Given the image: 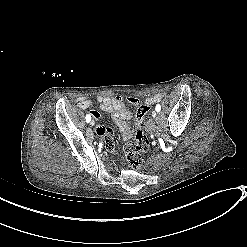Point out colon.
Wrapping results in <instances>:
<instances>
[{
	"instance_id": "5ec220e1",
	"label": "colon",
	"mask_w": 247,
	"mask_h": 247,
	"mask_svg": "<svg viewBox=\"0 0 247 247\" xmlns=\"http://www.w3.org/2000/svg\"><path fill=\"white\" fill-rule=\"evenodd\" d=\"M149 109L150 106L148 104H139L136 111L139 125L135 129V139L134 141H127L124 146L126 162L130 168H138L141 165V151H145L149 147V140L142 125Z\"/></svg>"
}]
</instances>
